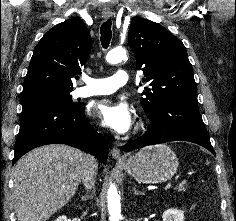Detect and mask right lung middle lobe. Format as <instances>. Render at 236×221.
Wrapping results in <instances>:
<instances>
[{
  "mask_svg": "<svg viewBox=\"0 0 236 221\" xmlns=\"http://www.w3.org/2000/svg\"><path fill=\"white\" fill-rule=\"evenodd\" d=\"M71 91L48 88L22 93L21 104L23 108L36 104H57L72 109L79 108L82 103L72 101Z\"/></svg>",
  "mask_w": 236,
  "mask_h": 221,
  "instance_id": "right-lung-middle-lobe-1",
  "label": "right lung middle lobe"
}]
</instances>
